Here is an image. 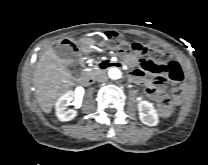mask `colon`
Listing matches in <instances>:
<instances>
[{
  "mask_svg": "<svg viewBox=\"0 0 208 165\" xmlns=\"http://www.w3.org/2000/svg\"><path fill=\"white\" fill-rule=\"evenodd\" d=\"M104 40L108 46L117 49H130L142 54L141 62L145 59L154 61H164L167 59V51L160 45L148 44L143 46L136 42H130L121 34L113 31L105 33ZM59 51L64 56H70L76 51V45L72 41H64L59 47ZM174 106L173 99L167 94H161L158 101V111L161 115H167Z\"/></svg>",
  "mask_w": 208,
  "mask_h": 165,
  "instance_id": "1",
  "label": "colon"
}]
</instances>
